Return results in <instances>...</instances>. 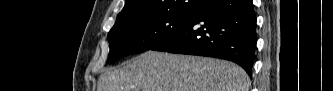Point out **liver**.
<instances>
[{
	"label": "liver",
	"mask_w": 333,
	"mask_h": 91,
	"mask_svg": "<svg viewBox=\"0 0 333 91\" xmlns=\"http://www.w3.org/2000/svg\"><path fill=\"white\" fill-rule=\"evenodd\" d=\"M238 65L213 58L147 51L100 75L97 91H249Z\"/></svg>",
	"instance_id": "6515ba94"
}]
</instances>
